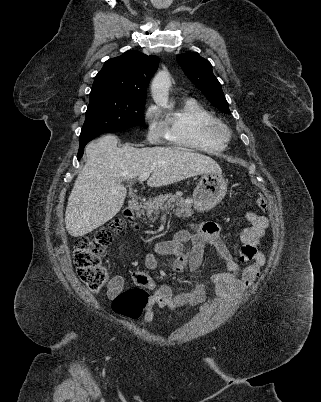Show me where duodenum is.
I'll return each instance as SVG.
<instances>
[{
    "label": "duodenum",
    "mask_w": 321,
    "mask_h": 402,
    "mask_svg": "<svg viewBox=\"0 0 321 402\" xmlns=\"http://www.w3.org/2000/svg\"><path fill=\"white\" fill-rule=\"evenodd\" d=\"M140 210V202L138 199H132L129 202L128 208L124 211V217L133 230H138L139 225L135 220V214Z\"/></svg>",
    "instance_id": "duodenum-1"
}]
</instances>
